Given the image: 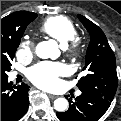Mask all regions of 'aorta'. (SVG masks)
I'll list each match as a JSON object with an SVG mask.
<instances>
[{
  "instance_id": "aorta-1",
  "label": "aorta",
  "mask_w": 121,
  "mask_h": 121,
  "mask_svg": "<svg viewBox=\"0 0 121 121\" xmlns=\"http://www.w3.org/2000/svg\"><path fill=\"white\" fill-rule=\"evenodd\" d=\"M35 53L39 58H57L59 56L58 45L55 41H42L37 44ZM54 108L58 112H64L68 108V101L65 98H57L54 101Z\"/></svg>"
}]
</instances>
